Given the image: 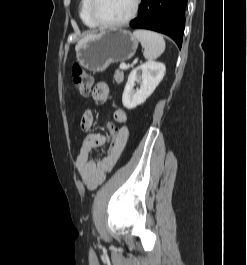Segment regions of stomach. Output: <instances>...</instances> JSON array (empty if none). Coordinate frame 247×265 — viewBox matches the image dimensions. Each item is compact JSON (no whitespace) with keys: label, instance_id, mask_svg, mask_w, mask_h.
Returning a JSON list of instances; mask_svg holds the SVG:
<instances>
[{"label":"stomach","instance_id":"stomach-1","mask_svg":"<svg viewBox=\"0 0 247 265\" xmlns=\"http://www.w3.org/2000/svg\"><path fill=\"white\" fill-rule=\"evenodd\" d=\"M139 40L125 29H108L83 42L76 48L78 63L92 72H103L110 64L131 59Z\"/></svg>","mask_w":247,"mask_h":265}]
</instances>
